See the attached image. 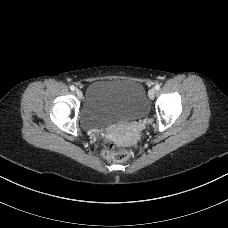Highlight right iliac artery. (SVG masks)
<instances>
[{"label": "right iliac artery", "instance_id": "obj_1", "mask_svg": "<svg viewBox=\"0 0 228 228\" xmlns=\"http://www.w3.org/2000/svg\"><path fill=\"white\" fill-rule=\"evenodd\" d=\"M70 89H71L72 91H74V90H75V86H74V85L70 86Z\"/></svg>", "mask_w": 228, "mask_h": 228}]
</instances>
